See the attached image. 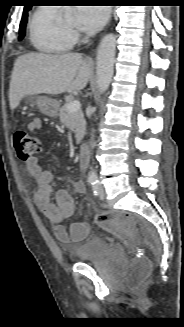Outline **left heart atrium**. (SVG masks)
Returning a JSON list of instances; mask_svg holds the SVG:
<instances>
[{"label": "left heart atrium", "instance_id": "obj_1", "mask_svg": "<svg viewBox=\"0 0 184 327\" xmlns=\"http://www.w3.org/2000/svg\"><path fill=\"white\" fill-rule=\"evenodd\" d=\"M77 23L85 32H95L103 27L109 17V9L106 7H94L83 5L76 11Z\"/></svg>", "mask_w": 184, "mask_h": 327}]
</instances>
